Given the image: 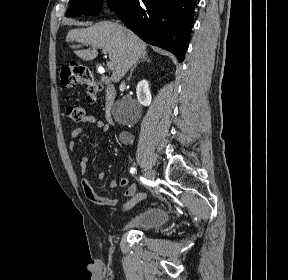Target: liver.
Listing matches in <instances>:
<instances>
[{
  "label": "liver",
  "instance_id": "liver-1",
  "mask_svg": "<svg viewBox=\"0 0 288 280\" xmlns=\"http://www.w3.org/2000/svg\"><path fill=\"white\" fill-rule=\"evenodd\" d=\"M67 42L89 44L91 49L75 51L83 60L97 57L98 48L105 49L114 65L111 80L119 82L127 71L146 55V44L132 31L111 21H102L87 28L72 29L66 37Z\"/></svg>",
  "mask_w": 288,
  "mask_h": 280
}]
</instances>
